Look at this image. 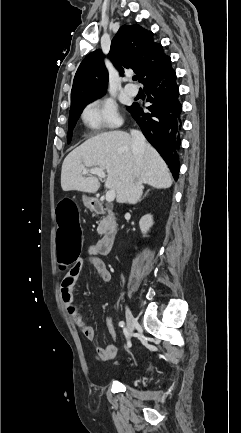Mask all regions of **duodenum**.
Returning a JSON list of instances; mask_svg holds the SVG:
<instances>
[{"label":"duodenum","instance_id":"obj_1","mask_svg":"<svg viewBox=\"0 0 241 433\" xmlns=\"http://www.w3.org/2000/svg\"><path fill=\"white\" fill-rule=\"evenodd\" d=\"M88 205L91 211L112 217L113 213L98 199H89ZM116 232L113 227L108 228L97 243V250L101 255H108L115 243Z\"/></svg>","mask_w":241,"mask_h":433}]
</instances>
